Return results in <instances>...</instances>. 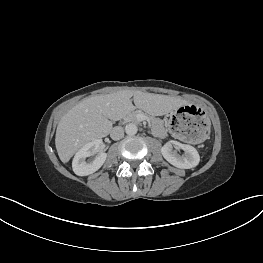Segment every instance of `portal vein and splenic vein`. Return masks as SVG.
Instances as JSON below:
<instances>
[{
  "label": "portal vein and splenic vein",
  "instance_id": "portal-vein-and-splenic-vein-1",
  "mask_svg": "<svg viewBox=\"0 0 263 263\" xmlns=\"http://www.w3.org/2000/svg\"><path fill=\"white\" fill-rule=\"evenodd\" d=\"M139 120H147V117L145 116V115H143V114H141L140 116H139Z\"/></svg>",
  "mask_w": 263,
  "mask_h": 263
}]
</instances>
